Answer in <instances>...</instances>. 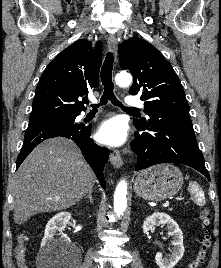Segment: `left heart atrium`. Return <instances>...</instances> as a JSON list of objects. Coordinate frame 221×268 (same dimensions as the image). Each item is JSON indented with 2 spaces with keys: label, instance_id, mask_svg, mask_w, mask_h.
Wrapping results in <instances>:
<instances>
[{
  "label": "left heart atrium",
  "instance_id": "39dd6f15",
  "mask_svg": "<svg viewBox=\"0 0 221 268\" xmlns=\"http://www.w3.org/2000/svg\"><path fill=\"white\" fill-rule=\"evenodd\" d=\"M97 140L108 146H120L127 138V130L124 122L113 117L101 123L96 134Z\"/></svg>",
  "mask_w": 221,
  "mask_h": 268
}]
</instances>
